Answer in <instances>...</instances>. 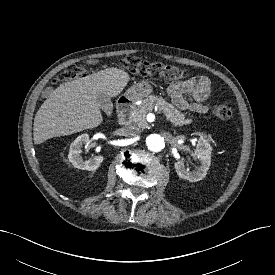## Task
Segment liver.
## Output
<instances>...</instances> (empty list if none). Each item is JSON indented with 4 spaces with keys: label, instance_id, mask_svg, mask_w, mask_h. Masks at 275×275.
Segmentation results:
<instances>
[{
    "label": "liver",
    "instance_id": "obj_1",
    "mask_svg": "<svg viewBox=\"0 0 275 275\" xmlns=\"http://www.w3.org/2000/svg\"><path fill=\"white\" fill-rule=\"evenodd\" d=\"M129 79L112 67L58 86L35 115L34 143L98 127L103 121L98 95L118 96Z\"/></svg>",
    "mask_w": 275,
    "mask_h": 275
}]
</instances>
